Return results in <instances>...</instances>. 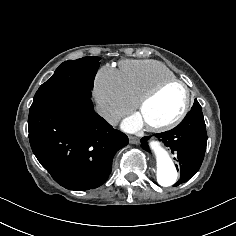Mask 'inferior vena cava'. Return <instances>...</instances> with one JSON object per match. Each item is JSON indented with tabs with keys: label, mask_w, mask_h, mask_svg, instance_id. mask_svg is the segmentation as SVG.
Returning <instances> with one entry per match:
<instances>
[{
	"label": "inferior vena cava",
	"mask_w": 236,
	"mask_h": 236,
	"mask_svg": "<svg viewBox=\"0 0 236 236\" xmlns=\"http://www.w3.org/2000/svg\"><path fill=\"white\" fill-rule=\"evenodd\" d=\"M98 113L103 116L110 124H114L116 120V114L114 113V109L99 107Z\"/></svg>",
	"instance_id": "inferior-vena-cava-1"
}]
</instances>
